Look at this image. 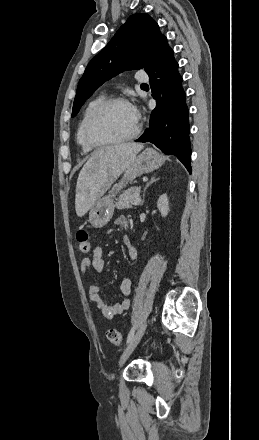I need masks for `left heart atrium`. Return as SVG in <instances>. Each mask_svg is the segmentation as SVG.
<instances>
[{"instance_id": "left-heart-atrium-1", "label": "left heart atrium", "mask_w": 259, "mask_h": 440, "mask_svg": "<svg viewBox=\"0 0 259 440\" xmlns=\"http://www.w3.org/2000/svg\"><path fill=\"white\" fill-rule=\"evenodd\" d=\"M130 106H131V109H132V111H133V113L135 115V118L138 120L139 119V110H138V108L136 106H134V105H130Z\"/></svg>"}]
</instances>
